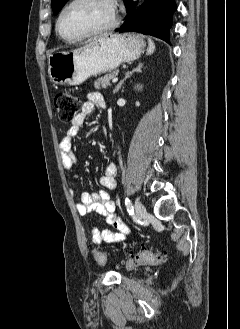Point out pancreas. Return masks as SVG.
Masks as SVG:
<instances>
[{
	"mask_svg": "<svg viewBox=\"0 0 240 329\" xmlns=\"http://www.w3.org/2000/svg\"><path fill=\"white\" fill-rule=\"evenodd\" d=\"M118 74V71L111 72L109 74L104 75L103 77L98 78L94 82V86L96 89L106 88L108 85H110V81L116 77Z\"/></svg>",
	"mask_w": 240,
	"mask_h": 329,
	"instance_id": "cf45deb5",
	"label": "pancreas"
}]
</instances>
